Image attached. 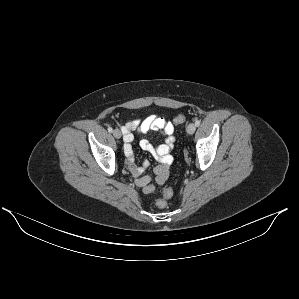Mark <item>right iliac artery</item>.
Listing matches in <instances>:
<instances>
[{"mask_svg":"<svg viewBox=\"0 0 299 299\" xmlns=\"http://www.w3.org/2000/svg\"><path fill=\"white\" fill-rule=\"evenodd\" d=\"M108 132L112 133L113 132V129L112 127H108Z\"/></svg>","mask_w":299,"mask_h":299,"instance_id":"right-iliac-artery-1","label":"right iliac artery"}]
</instances>
